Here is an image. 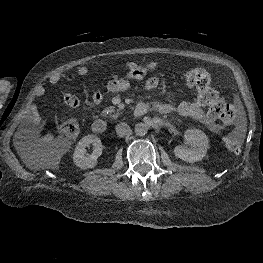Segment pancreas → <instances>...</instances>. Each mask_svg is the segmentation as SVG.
<instances>
[{
    "label": "pancreas",
    "mask_w": 263,
    "mask_h": 263,
    "mask_svg": "<svg viewBox=\"0 0 263 263\" xmlns=\"http://www.w3.org/2000/svg\"><path fill=\"white\" fill-rule=\"evenodd\" d=\"M112 112H113V114L111 115V117H112L113 119H116L118 116L121 115L120 109H118V110L115 112V108H114L113 106H110V107L105 108V109L103 110L102 114H103V115H106V114H109V113H112Z\"/></svg>",
    "instance_id": "obj_1"
}]
</instances>
